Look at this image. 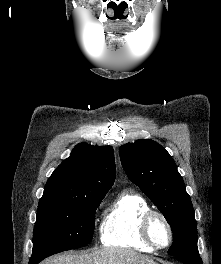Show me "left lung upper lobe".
Segmentation results:
<instances>
[{
    "mask_svg": "<svg viewBox=\"0 0 221 264\" xmlns=\"http://www.w3.org/2000/svg\"><path fill=\"white\" fill-rule=\"evenodd\" d=\"M129 179L152 200L170 224V255L198 256L197 225L190 196L169 153L157 142L140 139L119 149Z\"/></svg>",
    "mask_w": 221,
    "mask_h": 264,
    "instance_id": "1",
    "label": "left lung upper lobe"
}]
</instances>
